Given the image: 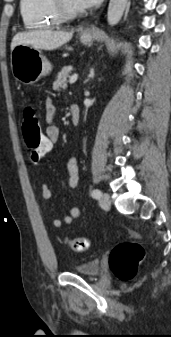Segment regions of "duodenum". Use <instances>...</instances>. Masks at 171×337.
<instances>
[{"instance_id":"obj_1","label":"duodenum","mask_w":171,"mask_h":337,"mask_svg":"<svg viewBox=\"0 0 171 337\" xmlns=\"http://www.w3.org/2000/svg\"><path fill=\"white\" fill-rule=\"evenodd\" d=\"M71 121L74 126L80 122V108L78 105L73 104L70 106Z\"/></svg>"}]
</instances>
